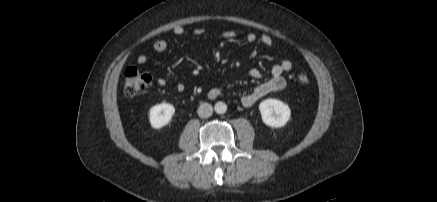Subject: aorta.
I'll return each instance as SVG.
<instances>
[{"mask_svg":"<svg viewBox=\"0 0 437 202\" xmlns=\"http://www.w3.org/2000/svg\"><path fill=\"white\" fill-rule=\"evenodd\" d=\"M214 110L217 114H224L227 111V105L224 102H217L214 105Z\"/></svg>","mask_w":437,"mask_h":202,"instance_id":"aorta-1","label":"aorta"}]
</instances>
